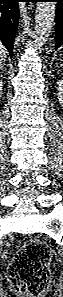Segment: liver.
<instances>
[{
	"instance_id": "obj_1",
	"label": "liver",
	"mask_w": 63,
	"mask_h": 297,
	"mask_svg": "<svg viewBox=\"0 0 63 297\" xmlns=\"http://www.w3.org/2000/svg\"><path fill=\"white\" fill-rule=\"evenodd\" d=\"M6 50L3 45H0V65H2L5 61Z\"/></svg>"
}]
</instances>
